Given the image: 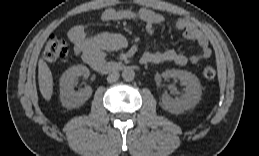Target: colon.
Returning a JSON list of instances; mask_svg holds the SVG:
<instances>
[{"label":"colon","mask_w":259,"mask_h":156,"mask_svg":"<svg viewBox=\"0 0 259 156\" xmlns=\"http://www.w3.org/2000/svg\"><path fill=\"white\" fill-rule=\"evenodd\" d=\"M69 52L68 43L56 36L48 38L43 51V59L47 63H55L62 60ZM203 76L206 79H213L216 76V70L213 66H205L203 69Z\"/></svg>","instance_id":"5ec220e1"}]
</instances>
